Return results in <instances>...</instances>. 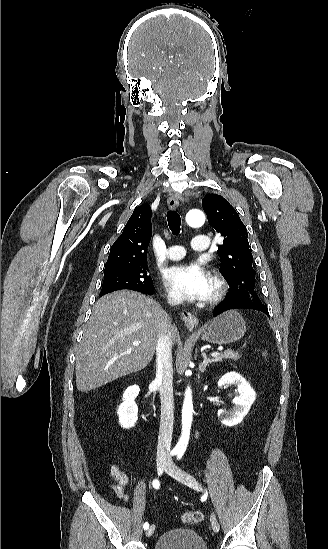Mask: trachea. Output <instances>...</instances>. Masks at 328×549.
Returning a JSON list of instances; mask_svg holds the SVG:
<instances>
[{
    "label": "trachea",
    "instance_id": "obj_1",
    "mask_svg": "<svg viewBox=\"0 0 328 549\" xmlns=\"http://www.w3.org/2000/svg\"><path fill=\"white\" fill-rule=\"evenodd\" d=\"M167 221L172 234L178 235L180 233L181 226V217L178 212L175 210H168Z\"/></svg>",
    "mask_w": 328,
    "mask_h": 549
}]
</instances>
